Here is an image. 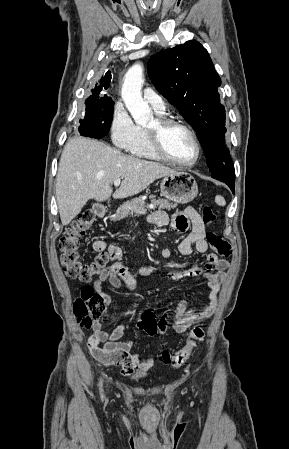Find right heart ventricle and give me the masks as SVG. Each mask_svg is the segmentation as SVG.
<instances>
[{
	"mask_svg": "<svg viewBox=\"0 0 289 449\" xmlns=\"http://www.w3.org/2000/svg\"><path fill=\"white\" fill-rule=\"evenodd\" d=\"M159 115H164V111L159 112L156 111ZM132 153L136 156L147 158V159H159L154 150L152 149L149 136L147 133V129L141 128V138L138 145L132 151Z\"/></svg>",
	"mask_w": 289,
	"mask_h": 449,
	"instance_id": "e07e8e85",
	"label": "right heart ventricle"
}]
</instances>
